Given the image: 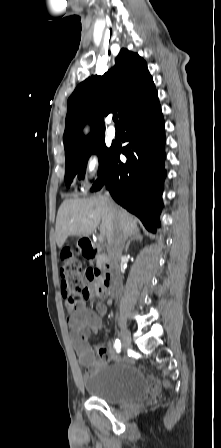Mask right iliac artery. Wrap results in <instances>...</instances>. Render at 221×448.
Returning a JSON list of instances; mask_svg holds the SVG:
<instances>
[{"instance_id": "obj_1", "label": "right iliac artery", "mask_w": 221, "mask_h": 448, "mask_svg": "<svg viewBox=\"0 0 221 448\" xmlns=\"http://www.w3.org/2000/svg\"><path fill=\"white\" fill-rule=\"evenodd\" d=\"M114 347H115V349H116V351L117 352H120V350H121V342H120V340H116L115 341V343H114Z\"/></svg>"}]
</instances>
